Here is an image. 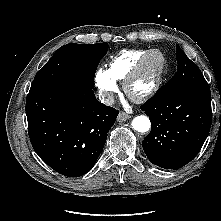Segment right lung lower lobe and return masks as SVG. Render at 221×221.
I'll return each instance as SVG.
<instances>
[{
    "instance_id": "1",
    "label": "right lung lower lobe",
    "mask_w": 221,
    "mask_h": 221,
    "mask_svg": "<svg viewBox=\"0 0 221 221\" xmlns=\"http://www.w3.org/2000/svg\"><path fill=\"white\" fill-rule=\"evenodd\" d=\"M118 113L99 102L86 85L39 90L26 98L28 133L35 152L68 177L82 176L94 166Z\"/></svg>"
}]
</instances>
